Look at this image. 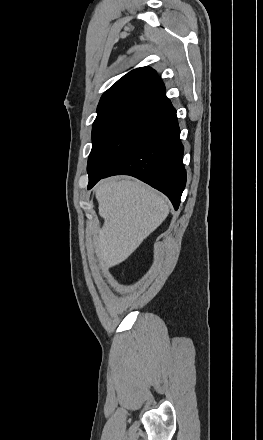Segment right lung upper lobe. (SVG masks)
I'll return each instance as SVG.
<instances>
[{
    "label": "right lung upper lobe",
    "mask_w": 263,
    "mask_h": 440,
    "mask_svg": "<svg viewBox=\"0 0 263 440\" xmlns=\"http://www.w3.org/2000/svg\"><path fill=\"white\" fill-rule=\"evenodd\" d=\"M166 100L165 86L156 71L141 67L124 75L102 95L97 113L123 107L160 106Z\"/></svg>",
    "instance_id": "obj_1"
}]
</instances>
